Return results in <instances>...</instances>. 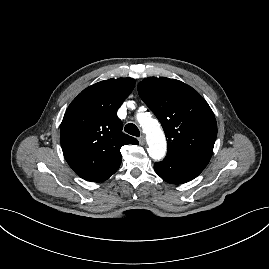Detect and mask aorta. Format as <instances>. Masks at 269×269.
<instances>
[{
  "label": "aorta",
  "mask_w": 269,
  "mask_h": 269,
  "mask_svg": "<svg viewBox=\"0 0 269 269\" xmlns=\"http://www.w3.org/2000/svg\"><path fill=\"white\" fill-rule=\"evenodd\" d=\"M137 121L146 134L148 154L153 160H161L166 155L167 142L163 130L150 113H138Z\"/></svg>",
  "instance_id": "obj_1"
}]
</instances>
